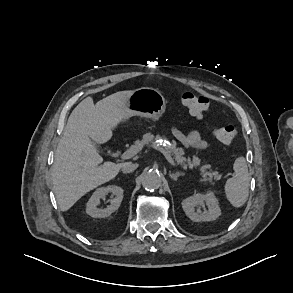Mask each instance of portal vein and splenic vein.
<instances>
[{
  "mask_svg": "<svg viewBox=\"0 0 293 293\" xmlns=\"http://www.w3.org/2000/svg\"><path fill=\"white\" fill-rule=\"evenodd\" d=\"M154 149L160 151L166 158V160L174 167H177V165L175 164L173 158L168 154V152L166 150H164L162 147H160L159 145H153L152 146ZM142 150V147L140 146H132L130 149H128L127 151H125L122 155L121 158L122 159H130L131 157H133L134 155H136L138 152H140Z\"/></svg>",
  "mask_w": 293,
  "mask_h": 293,
  "instance_id": "portal-vein-and-splenic-vein-1",
  "label": "portal vein and splenic vein"
}]
</instances>
